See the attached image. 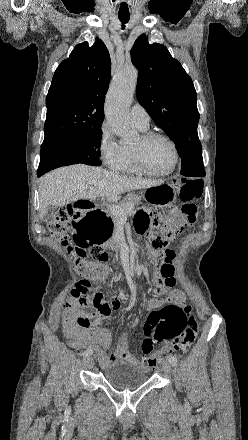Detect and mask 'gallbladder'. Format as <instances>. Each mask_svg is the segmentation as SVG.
Returning a JSON list of instances; mask_svg holds the SVG:
<instances>
[{
    "instance_id": "obj_1",
    "label": "gallbladder",
    "mask_w": 248,
    "mask_h": 440,
    "mask_svg": "<svg viewBox=\"0 0 248 440\" xmlns=\"http://www.w3.org/2000/svg\"><path fill=\"white\" fill-rule=\"evenodd\" d=\"M54 212H55V207L48 206L45 213H44L43 221H45V222L49 221L53 217Z\"/></svg>"
}]
</instances>
